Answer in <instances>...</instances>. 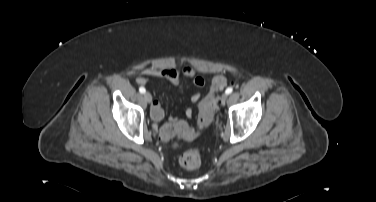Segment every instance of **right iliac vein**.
<instances>
[{"label": "right iliac vein", "instance_id": "1", "mask_svg": "<svg viewBox=\"0 0 376 202\" xmlns=\"http://www.w3.org/2000/svg\"><path fill=\"white\" fill-rule=\"evenodd\" d=\"M143 96L146 102L150 103L152 101V96L149 92H145Z\"/></svg>", "mask_w": 376, "mask_h": 202}]
</instances>
